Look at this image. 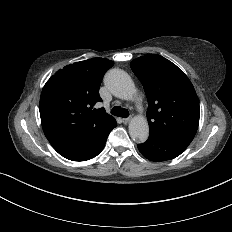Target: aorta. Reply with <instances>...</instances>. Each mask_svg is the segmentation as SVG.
<instances>
[{
	"instance_id": "1",
	"label": "aorta",
	"mask_w": 232,
	"mask_h": 232,
	"mask_svg": "<svg viewBox=\"0 0 232 232\" xmlns=\"http://www.w3.org/2000/svg\"><path fill=\"white\" fill-rule=\"evenodd\" d=\"M105 85L116 97L124 100L132 99L136 88L131 77L121 69H111L105 76ZM130 137L137 142L143 143L149 136V125L142 116H135L129 123Z\"/></svg>"
}]
</instances>
